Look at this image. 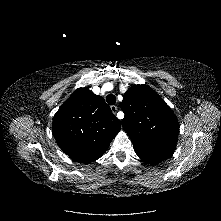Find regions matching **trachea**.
<instances>
[{
	"mask_svg": "<svg viewBox=\"0 0 221 221\" xmlns=\"http://www.w3.org/2000/svg\"><path fill=\"white\" fill-rule=\"evenodd\" d=\"M106 101H107V103H108L109 105H115V103H116V97H115V95H113V94L107 95Z\"/></svg>",
	"mask_w": 221,
	"mask_h": 221,
	"instance_id": "1",
	"label": "trachea"
}]
</instances>
